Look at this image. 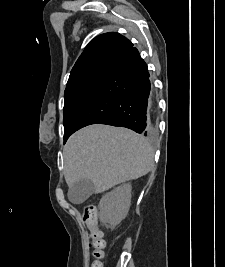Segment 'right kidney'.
I'll return each mask as SVG.
<instances>
[{
	"label": "right kidney",
	"instance_id": "right-kidney-1",
	"mask_svg": "<svg viewBox=\"0 0 225 267\" xmlns=\"http://www.w3.org/2000/svg\"><path fill=\"white\" fill-rule=\"evenodd\" d=\"M130 184H122L105 194L99 203L100 220L112 228L118 225L128 214L131 202Z\"/></svg>",
	"mask_w": 225,
	"mask_h": 267
}]
</instances>
